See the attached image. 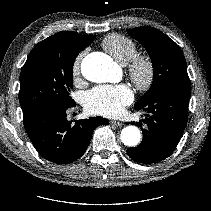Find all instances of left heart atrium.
Here are the masks:
<instances>
[{"label":"left heart atrium","instance_id":"obj_1","mask_svg":"<svg viewBox=\"0 0 211 211\" xmlns=\"http://www.w3.org/2000/svg\"><path fill=\"white\" fill-rule=\"evenodd\" d=\"M133 94L126 85L99 86L87 92L84 99L86 110L92 114L115 116L130 104Z\"/></svg>","mask_w":211,"mask_h":211}]
</instances>
